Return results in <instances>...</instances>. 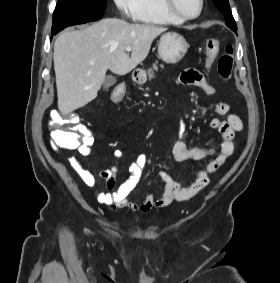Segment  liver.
Returning a JSON list of instances; mask_svg holds the SVG:
<instances>
[{"label":"liver","instance_id":"1","mask_svg":"<svg viewBox=\"0 0 280 283\" xmlns=\"http://www.w3.org/2000/svg\"><path fill=\"white\" fill-rule=\"evenodd\" d=\"M167 28L106 18L84 29L65 31L54 43L59 111L66 115L97 97L109 69L125 75L148 55ZM130 46L131 56L126 53Z\"/></svg>","mask_w":280,"mask_h":283}]
</instances>
